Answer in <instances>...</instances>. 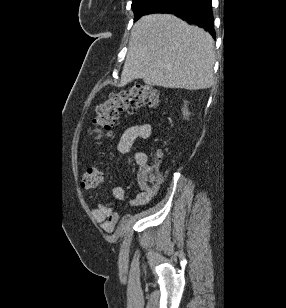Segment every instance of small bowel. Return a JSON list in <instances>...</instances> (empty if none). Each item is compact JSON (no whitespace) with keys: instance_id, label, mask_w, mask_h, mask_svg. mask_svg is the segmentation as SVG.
I'll return each instance as SVG.
<instances>
[{"instance_id":"c3829d8e","label":"small bowel","mask_w":286,"mask_h":308,"mask_svg":"<svg viewBox=\"0 0 286 308\" xmlns=\"http://www.w3.org/2000/svg\"><path fill=\"white\" fill-rule=\"evenodd\" d=\"M152 135V126L148 122L134 124L128 127L122 134L117 144V151L120 154L127 153L133 143L138 139H148ZM135 163L139 170L137 180L139 184V193L134 199L130 200L132 206H146L150 204L156 197L160 183L153 182L147 175L149 165L147 163V155L142 151H137L134 154ZM114 199L123 201L126 199V190L123 186H117L114 189ZM91 214L95 220L101 223L102 228L110 232L116 225L119 215L114 211L113 201L102 203L91 210Z\"/></svg>"}]
</instances>
